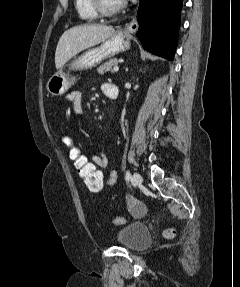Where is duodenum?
<instances>
[{"mask_svg": "<svg viewBox=\"0 0 240 287\" xmlns=\"http://www.w3.org/2000/svg\"><path fill=\"white\" fill-rule=\"evenodd\" d=\"M118 94H119L118 86L115 84H112L109 92L107 93V97L112 99V100H115V99H117Z\"/></svg>", "mask_w": 240, "mask_h": 287, "instance_id": "obj_1", "label": "duodenum"}]
</instances>
